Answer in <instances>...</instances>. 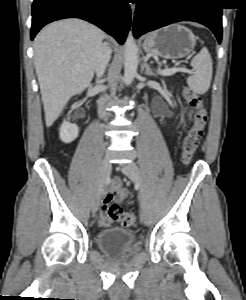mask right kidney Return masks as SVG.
<instances>
[{
	"label": "right kidney",
	"instance_id": "1",
	"mask_svg": "<svg viewBox=\"0 0 246 300\" xmlns=\"http://www.w3.org/2000/svg\"><path fill=\"white\" fill-rule=\"evenodd\" d=\"M78 126L64 121L60 127V139L62 142L68 144L76 139L78 136Z\"/></svg>",
	"mask_w": 246,
	"mask_h": 300
}]
</instances>
